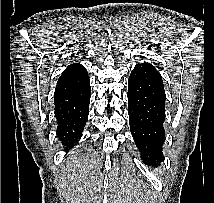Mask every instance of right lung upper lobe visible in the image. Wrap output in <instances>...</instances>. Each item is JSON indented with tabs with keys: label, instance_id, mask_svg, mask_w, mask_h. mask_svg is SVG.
<instances>
[{
	"label": "right lung upper lobe",
	"instance_id": "cb5924a9",
	"mask_svg": "<svg viewBox=\"0 0 214 203\" xmlns=\"http://www.w3.org/2000/svg\"><path fill=\"white\" fill-rule=\"evenodd\" d=\"M76 65H77V64H72V65L68 66L66 70H68V69H70V68H72V67H74V66H76Z\"/></svg>",
	"mask_w": 214,
	"mask_h": 203
}]
</instances>
